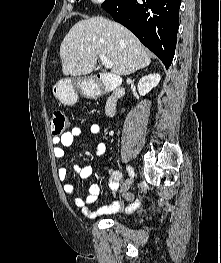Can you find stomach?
<instances>
[{
  "label": "stomach",
  "mask_w": 221,
  "mask_h": 263,
  "mask_svg": "<svg viewBox=\"0 0 221 263\" xmlns=\"http://www.w3.org/2000/svg\"><path fill=\"white\" fill-rule=\"evenodd\" d=\"M78 92H87V81L80 78H65L52 87L53 95L65 105H73L78 99Z\"/></svg>",
  "instance_id": "1"
}]
</instances>
